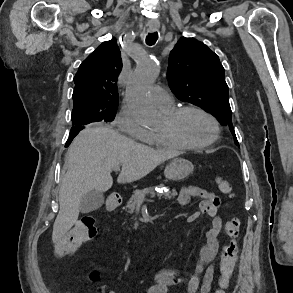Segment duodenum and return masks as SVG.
Instances as JSON below:
<instances>
[{
  "mask_svg": "<svg viewBox=\"0 0 293 293\" xmlns=\"http://www.w3.org/2000/svg\"><path fill=\"white\" fill-rule=\"evenodd\" d=\"M121 201H122V199L120 196L111 195V197L109 198V201L107 203V210L109 212H112L120 205Z\"/></svg>",
  "mask_w": 293,
  "mask_h": 293,
  "instance_id": "obj_1",
  "label": "duodenum"
}]
</instances>
